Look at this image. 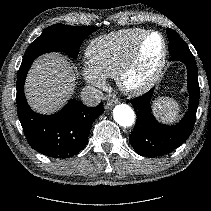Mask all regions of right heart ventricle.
<instances>
[{"label": "right heart ventricle", "mask_w": 211, "mask_h": 211, "mask_svg": "<svg viewBox=\"0 0 211 211\" xmlns=\"http://www.w3.org/2000/svg\"><path fill=\"white\" fill-rule=\"evenodd\" d=\"M145 31L143 28H130L95 38L86 50L89 64L104 78L114 77Z\"/></svg>", "instance_id": "right-heart-ventricle-1"}]
</instances>
